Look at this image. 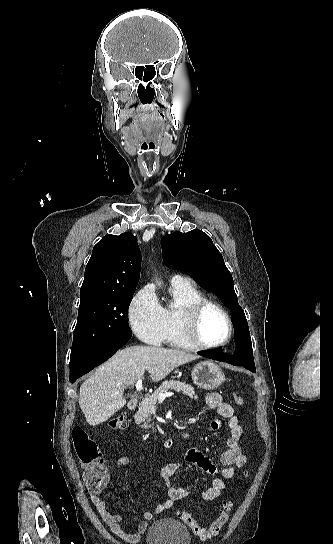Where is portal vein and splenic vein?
Masks as SVG:
<instances>
[{"label": "portal vein and splenic vein", "mask_w": 333, "mask_h": 544, "mask_svg": "<svg viewBox=\"0 0 333 544\" xmlns=\"http://www.w3.org/2000/svg\"><path fill=\"white\" fill-rule=\"evenodd\" d=\"M136 389H137V391H142L143 390L142 379L141 378H139L137 380V382H136ZM173 395H174V393H171V392L160 393L159 396H158V400L163 401L166 397H171Z\"/></svg>", "instance_id": "1"}]
</instances>
